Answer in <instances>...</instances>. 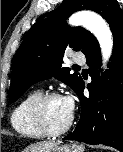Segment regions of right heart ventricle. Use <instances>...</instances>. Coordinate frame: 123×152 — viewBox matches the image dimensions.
I'll use <instances>...</instances> for the list:
<instances>
[{
    "instance_id": "right-heart-ventricle-1",
    "label": "right heart ventricle",
    "mask_w": 123,
    "mask_h": 152,
    "mask_svg": "<svg viewBox=\"0 0 123 152\" xmlns=\"http://www.w3.org/2000/svg\"><path fill=\"white\" fill-rule=\"evenodd\" d=\"M42 95L40 90L30 92L15 106L11 113L12 128L23 137L31 139L44 137L33 120L34 105Z\"/></svg>"
}]
</instances>
